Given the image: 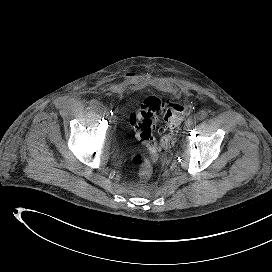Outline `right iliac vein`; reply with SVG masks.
Returning <instances> with one entry per match:
<instances>
[{
    "mask_svg": "<svg viewBox=\"0 0 272 272\" xmlns=\"http://www.w3.org/2000/svg\"><path fill=\"white\" fill-rule=\"evenodd\" d=\"M98 110L100 114L107 115V110L103 106L100 105Z\"/></svg>",
    "mask_w": 272,
    "mask_h": 272,
    "instance_id": "63e3f726",
    "label": "right iliac vein"
}]
</instances>
